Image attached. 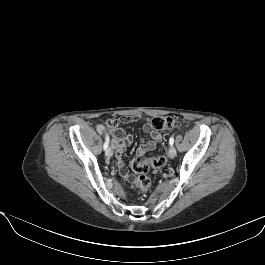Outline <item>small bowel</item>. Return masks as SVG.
Listing matches in <instances>:
<instances>
[{
	"mask_svg": "<svg viewBox=\"0 0 265 265\" xmlns=\"http://www.w3.org/2000/svg\"><path fill=\"white\" fill-rule=\"evenodd\" d=\"M142 119L140 116L132 117H123L119 121L111 120V124H108L107 127L110 129L113 135V147L116 153V161L119 169V173L124 180H128L129 173L125 167L123 156L126 148L132 143L133 136L126 133L122 128H120V123L127 124L131 122H136ZM105 129L104 125L98 126V131L103 132ZM144 132L146 133V138L141 142L139 147L136 150L138 156H143L146 153L155 149L157 143L161 140V134L153 130L149 125L144 126Z\"/></svg>",
	"mask_w": 265,
	"mask_h": 265,
	"instance_id": "c3829d8e",
	"label": "small bowel"
}]
</instances>
